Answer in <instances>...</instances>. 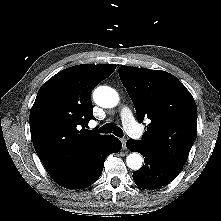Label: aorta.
I'll list each match as a JSON object with an SVG mask.
<instances>
[{"label": "aorta", "mask_w": 221, "mask_h": 221, "mask_svg": "<svg viewBox=\"0 0 221 221\" xmlns=\"http://www.w3.org/2000/svg\"><path fill=\"white\" fill-rule=\"evenodd\" d=\"M93 99L100 107L113 108L119 102V95L111 87L99 86L93 92ZM142 162L143 158L139 153H131L126 158V164L132 170H139L142 167Z\"/></svg>", "instance_id": "obj_1"}]
</instances>
